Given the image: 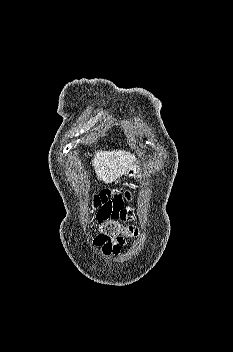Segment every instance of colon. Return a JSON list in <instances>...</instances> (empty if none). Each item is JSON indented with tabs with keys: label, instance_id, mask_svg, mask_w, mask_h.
Here are the masks:
<instances>
[{
	"label": "colon",
	"instance_id": "5ec220e1",
	"mask_svg": "<svg viewBox=\"0 0 233 352\" xmlns=\"http://www.w3.org/2000/svg\"><path fill=\"white\" fill-rule=\"evenodd\" d=\"M100 237L102 239L113 240L117 238L133 237L137 235V229L134 226H123L121 222L114 219L99 221Z\"/></svg>",
	"mask_w": 233,
	"mask_h": 352
}]
</instances>
